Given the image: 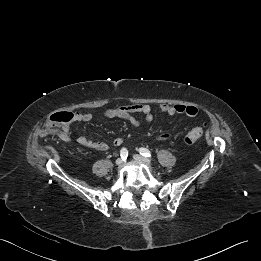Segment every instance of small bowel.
Here are the masks:
<instances>
[{
    "label": "small bowel",
    "instance_id": "1",
    "mask_svg": "<svg viewBox=\"0 0 261 261\" xmlns=\"http://www.w3.org/2000/svg\"><path fill=\"white\" fill-rule=\"evenodd\" d=\"M161 112L167 115H175V114H183L189 118H194L198 114V109L193 105H184V104H176V105H168L162 104L160 106ZM73 122H90L93 119V115L91 113H80L75 112ZM135 114H141L145 121L151 122L154 119L152 114L151 107L147 104H132L127 106H122L115 109H109L103 113V117L106 119L119 118L129 122L131 125L137 127L141 124V121L135 117ZM59 137L67 142H71L73 140L70 132L69 126H66L60 133ZM157 140L160 141H168L171 138V135L166 132H161L156 135ZM76 141L87 148L104 151L108 148V144L99 141L89 139L85 136H80L76 139ZM123 139L120 137L115 138L112 141V145L115 147L121 146L123 144Z\"/></svg>",
    "mask_w": 261,
    "mask_h": 261
}]
</instances>
